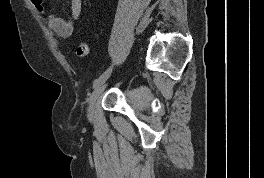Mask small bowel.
Here are the masks:
<instances>
[{
	"label": "small bowel",
	"instance_id": "1",
	"mask_svg": "<svg viewBox=\"0 0 264 178\" xmlns=\"http://www.w3.org/2000/svg\"><path fill=\"white\" fill-rule=\"evenodd\" d=\"M81 10L82 0H71L70 17L64 19L54 14H47L45 17L47 25L59 37L67 38L74 32Z\"/></svg>",
	"mask_w": 264,
	"mask_h": 178
}]
</instances>
